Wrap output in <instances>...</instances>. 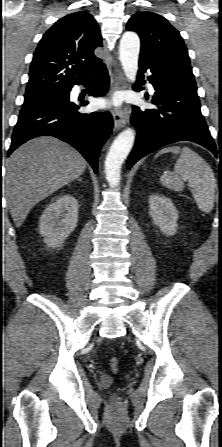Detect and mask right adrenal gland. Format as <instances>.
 Segmentation results:
<instances>
[{
    "label": "right adrenal gland",
    "instance_id": "1",
    "mask_svg": "<svg viewBox=\"0 0 222 447\" xmlns=\"http://www.w3.org/2000/svg\"><path fill=\"white\" fill-rule=\"evenodd\" d=\"M78 181H82V178H79Z\"/></svg>",
    "mask_w": 222,
    "mask_h": 447
}]
</instances>
